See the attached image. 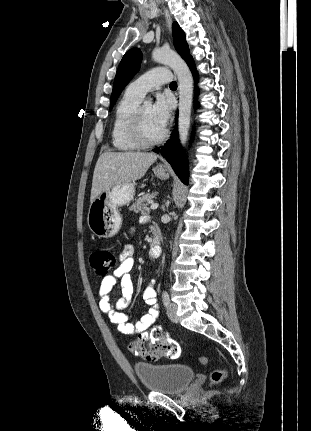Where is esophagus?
Returning <instances> with one entry per match:
<instances>
[{
	"label": "esophagus",
	"instance_id": "esophagus-1",
	"mask_svg": "<svg viewBox=\"0 0 311 431\" xmlns=\"http://www.w3.org/2000/svg\"><path fill=\"white\" fill-rule=\"evenodd\" d=\"M163 11H164L165 19H166L168 33L171 35L172 18H171L169 11L165 7H163Z\"/></svg>",
	"mask_w": 311,
	"mask_h": 431
}]
</instances>
